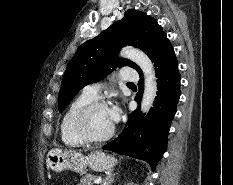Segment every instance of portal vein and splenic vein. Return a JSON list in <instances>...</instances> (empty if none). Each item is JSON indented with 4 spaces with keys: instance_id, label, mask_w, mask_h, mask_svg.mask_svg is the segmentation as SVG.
Wrapping results in <instances>:
<instances>
[{
    "instance_id": "18ae733b",
    "label": "portal vein and splenic vein",
    "mask_w": 233,
    "mask_h": 185,
    "mask_svg": "<svg viewBox=\"0 0 233 185\" xmlns=\"http://www.w3.org/2000/svg\"><path fill=\"white\" fill-rule=\"evenodd\" d=\"M102 182V179L101 178H96L95 180H94V183L95 184H100Z\"/></svg>"
}]
</instances>
